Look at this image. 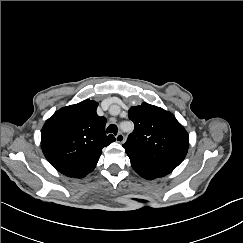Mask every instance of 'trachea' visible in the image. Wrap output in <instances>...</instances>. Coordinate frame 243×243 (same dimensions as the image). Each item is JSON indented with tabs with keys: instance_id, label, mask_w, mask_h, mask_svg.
Wrapping results in <instances>:
<instances>
[{
	"instance_id": "trachea-1",
	"label": "trachea",
	"mask_w": 243,
	"mask_h": 243,
	"mask_svg": "<svg viewBox=\"0 0 243 243\" xmlns=\"http://www.w3.org/2000/svg\"><path fill=\"white\" fill-rule=\"evenodd\" d=\"M117 126L115 124H110L108 127H107V133H113V134H117Z\"/></svg>"
}]
</instances>
